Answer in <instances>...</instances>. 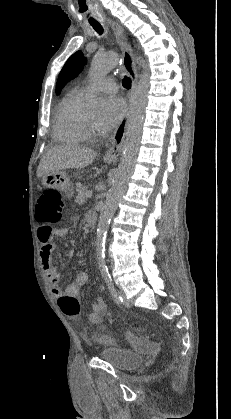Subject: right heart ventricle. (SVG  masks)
Instances as JSON below:
<instances>
[{
  "mask_svg": "<svg viewBox=\"0 0 231 419\" xmlns=\"http://www.w3.org/2000/svg\"><path fill=\"white\" fill-rule=\"evenodd\" d=\"M82 104L83 93L77 90L62 99L54 118L53 135L56 140L67 144H81L87 140Z\"/></svg>",
  "mask_w": 231,
  "mask_h": 419,
  "instance_id": "right-heart-ventricle-1",
  "label": "right heart ventricle"
}]
</instances>
